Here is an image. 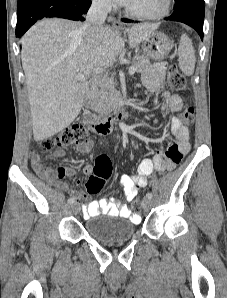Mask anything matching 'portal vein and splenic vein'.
<instances>
[{
  "label": "portal vein and splenic vein",
  "mask_w": 227,
  "mask_h": 298,
  "mask_svg": "<svg viewBox=\"0 0 227 298\" xmlns=\"http://www.w3.org/2000/svg\"><path fill=\"white\" fill-rule=\"evenodd\" d=\"M103 72H105V70L103 68H97L94 71L95 74H99V73H103ZM128 72H129V75H134V73L136 72V68L134 66H131L129 68V71ZM76 78L77 79H82V78H84V75L83 74H79V75L76 76Z\"/></svg>",
  "instance_id": "18ae733b"
}]
</instances>
